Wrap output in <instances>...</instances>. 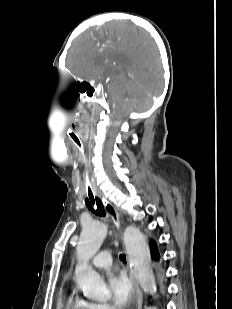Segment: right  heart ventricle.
I'll return each instance as SVG.
<instances>
[{
  "instance_id": "1",
  "label": "right heart ventricle",
  "mask_w": 232,
  "mask_h": 309,
  "mask_svg": "<svg viewBox=\"0 0 232 309\" xmlns=\"http://www.w3.org/2000/svg\"><path fill=\"white\" fill-rule=\"evenodd\" d=\"M66 309H93L92 303H89L81 298L72 296L65 305Z\"/></svg>"
}]
</instances>
